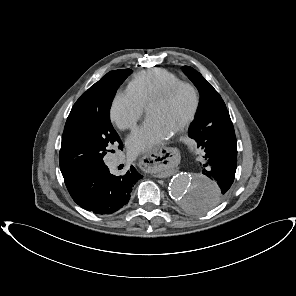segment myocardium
Wrapping results in <instances>:
<instances>
[{"instance_id": "obj_1", "label": "myocardium", "mask_w": 296, "mask_h": 296, "mask_svg": "<svg viewBox=\"0 0 296 296\" xmlns=\"http://www.w3.org/2000/svg\"><path fill=\"white\" fill-rule=\"evenodd\" d=\"M182 89H186L190 92L192 96V108L187 118L173 131L174 134H179L185 131L193 123L197 116L200 98L199 93L193 84L184 81L177 82L151 98L145 107L146 113H148V110L151 106L170 100L177 92Z\"/></svg>"}]
</instances>
